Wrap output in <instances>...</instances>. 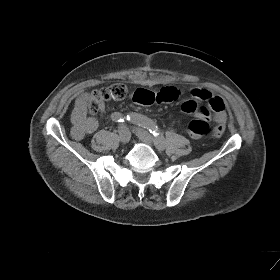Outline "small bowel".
Instances as JSON below:
<instances>
[{
    "mask_svg": "<svg viewBox=\"0 0 280 280\" xmlns=\"http://www.w3.org/2000/svg\"><path fill=\"white\" fill-rule=\"evenodd\" d=\"M180 94V90L173 86L164 87L156 92L139 88L132 94V99L142 105H151L173 102L179 98ZM189 95V99L184 101L181 106L183 112L193 115L197 119L213 120L217 127L225 128L227 114L226 104L222 98L205 89H193ZM104 108V104L100 103L99 110L102 112ZM72 124L71 134L76 140H81L87 134L95 132L98 127L97 120L94 117L87 116V108L80 102V99L77 100L72 113ZM189 134L196 137L191 133Z\"/></svg>",
    "mask_w": 280,
    "mask_h": 280,
    "instance_id": "obj_1",
    "label": "small bowel"
}]
</instances>
